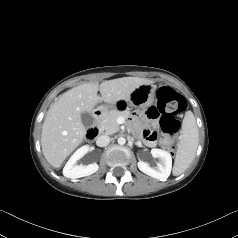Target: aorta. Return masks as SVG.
Segmentation results:
<instances>
[{"label": "aorta", "instance_id": "obj_1", "mask_svg": "<svg viewBox=\"0 0 238 238\" xmlns=\"http://www.w3.org/2000/svg\"><path fill=\"white\" fill-rule=\"evenodd\" d=\"M117 142L119 145H124L126 143V139L124 137H119Z\"/></svg>", "mask_w": 238, "mask_h": 238}]
</instances>
